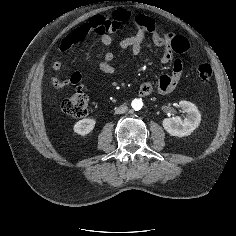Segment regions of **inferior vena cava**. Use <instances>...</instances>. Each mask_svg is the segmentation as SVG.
Returning <instances> with one entry per match:
<instances>
[{
	"label": "inferior vena cava",
	"mask_w": 236,
	"mask_h": 236,
	"mask_svg": "<svg viewBox=\"0 0 236 236\" xmlns=\"http://www.w3.org/2000/svg\"><path fill=\"white\" fill-rule=\"evenodd\" d=\"M128 107L126 105H121L115 109V114H123L127 112Z\"/></svg>",
	"instance_id": "inferior-vena-cava-1"
}]
</instances>
